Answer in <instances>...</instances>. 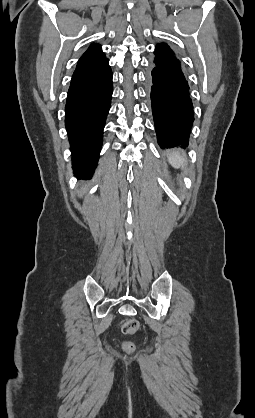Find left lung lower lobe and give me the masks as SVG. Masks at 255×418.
<instances>
[{
	"label": "left lung lower lobe",
	"instance_id": "0a47b994",
	"mask_svg": "<svg viewBox=\"0 0 255 418\" xmlns=\"http://www.w3.org/2000/svg\"><path fill=\"white\" fill-rule=\"evenodd\" d=\"M154 54L150 81L158 143L166 148L184 147L194 121L189 83L180 60L167 44H158Z\"/></svg>",
	"mask_w": 255,
	"mask_h": 418
}]
</instances>
